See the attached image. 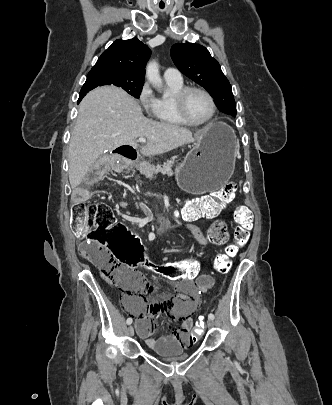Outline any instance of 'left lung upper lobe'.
<instances>
[{"label": "left lung upper lobe", "mask_w": 332, "mask_h": 405, "mask_svg": "<svg viewBox=\"0 0 332 405\" xmlns=\"http://www.w3.org/2000/svg\"><path fill=\"white\" fill-rule=\"evenodd\" d=\"M176 67L187 77L203 86L214 98L220 111L236 116V103L231 85L219 63L202 45L178 43L171 48Z\"/></svg>", "instance_id": "left-lung-upper-lobe-1"}]
</instances>
